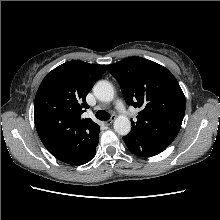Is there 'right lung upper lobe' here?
Instances as JSON below:
<instances>
[{
	"mask_svg": "<svg viewBox=\"0 0 220 220\" xmlns=\"http://www.w3.org/2000/svg\"><path fill=\"white\" fill-rule=\"evenodd\" d=\"M106 71L105 65L72 60L50 71L36 93L34 122L47 150L58 160L72 163L90 149L99 125L81 118L86 96Z\"/></svg>",
	"mask_w": 220,
	"mask_h": 220,
	"instance_id": "right-lung-upper-lobe-1",
	"label": "right lung upper lobe"
}]
</instances>
